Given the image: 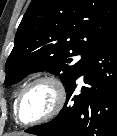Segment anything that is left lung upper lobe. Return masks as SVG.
<instances>
[{"instance_id":"5c2ea615","label":"left lung upper lobe","mask_w":117,"mask_h":136,"mask_svg":"<svg viewBox=\"0 0 117 136\" xmlns=\"http://www.w3.org/2000/svg\"><path fill=\"white\" fill-rule=\"evenodd\" d=\"M116 22L117 0H32L6 61L5 84L47 71L58 75L66 89L88 53ZM77 55L82 59L74 62Z\"/></svg>"}]
</instances>
